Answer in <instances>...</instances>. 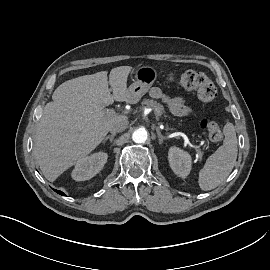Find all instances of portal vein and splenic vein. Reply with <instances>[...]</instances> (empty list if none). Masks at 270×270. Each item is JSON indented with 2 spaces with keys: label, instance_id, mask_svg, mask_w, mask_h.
<instances>
[{
  "label": "portal vein and splenic vein",
  "instance_id": "obj_1",
  "mask_svg": "<svg viewBox=\"0 0 270 270\" xmlns=\"http://www.w3.org/2000/svg\"><path fill=\"white\" fill-rule=\"evenodd\" d=\"M106 113H115V112H114V110L110 109V110H107ZM188 143H189V145L192 146V147L196 150V152L199 154L198 157L201 158V151H200V149L198 148V146H196V145H194V144H192V143H190V142H188Z\"/></svg>",
  "mask_w": 270,
  "mask_h": 270
}]
</instances>
